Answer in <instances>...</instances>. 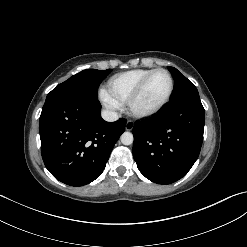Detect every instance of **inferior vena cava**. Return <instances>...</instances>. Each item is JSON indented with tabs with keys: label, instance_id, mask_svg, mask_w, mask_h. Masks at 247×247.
<instances>
[{
	"label": "inferior vena cava",
	"instance_id": "602c4592",
	"mask_svg": "<svg viewBox=\"0 0 247 247\" xmlns=\"http://www.w3.org/2000/svg\"><path fill=\"white\" fill-rule=\"evenodd\" d=\"M101 116L107 122H114V121L118 120L117 113L110 111V110H103L101 112Z\"/></svg>",
	"mask_w": 247,
	"mask_h": 247
}]
</instances>
